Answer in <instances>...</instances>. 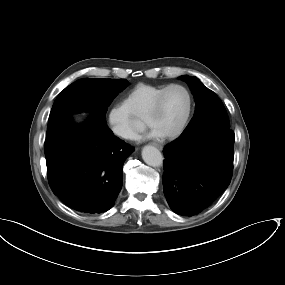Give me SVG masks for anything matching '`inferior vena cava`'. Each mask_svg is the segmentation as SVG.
Listing matches in <instances>:
<instances>
[{"instance_id":"602c4592","label":"inferior vena cava","mask_w":285,"mask_h":285,"mask_svg":"<svg viewBox=\"0 0 285 285\" xmlns=\"http://www.w3.org/2000/svg\"><path fill=\"white\" fill-rule=\"evenodd\" d=\"M117 133L123 138H133L136 136V133L132 129L127 127H120L117 130Z\"/></svg>"}]
</instances>
